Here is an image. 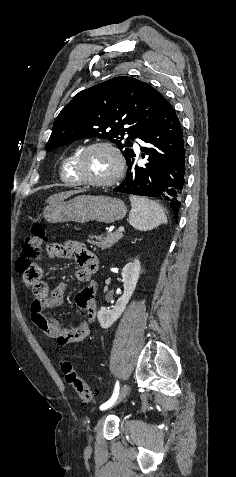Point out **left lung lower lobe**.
Instances as JSON below:
<instances>
[{"mask_svg":"<svg viewBox=\"0 0 236 477\" xmlns=\"http://www.w3.org/2000/svg\"><path fill=\"white\" fill-rule=\"evenodd\" d=\"M140 166L135 153L127 160L126 179L114 191L164 199L171 206L175 220L181 206L185 185L186 153L183 132L173 106L162 96L160 109L142 137Z\"/></svg>","mask_w":236,"mask_h":477,"instance_id":"0a47b994","label":"left lung lower lobe"}]
</instances>
